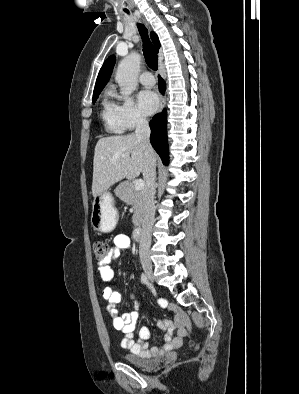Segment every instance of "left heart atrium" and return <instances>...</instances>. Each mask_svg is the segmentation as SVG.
I'll list each match as a JSON object with an SVG mask.
<instances>
[{"label":"left heart atrium","mask_w":299,"mask_h":394,"mask_svg":"<svg viewBox=\"0 0 299 394\" xmlns=\"http://www.w3.org/2000/svg\"><path fill=\"white\" fill-rule=\"evenodd\" d=\"M137 100L139 109L145 115L153 114L159 105L157 95L153 91L147 89L139 92Z\"/></svg>","instance_id":"39dd6f15"}]
</instances>
